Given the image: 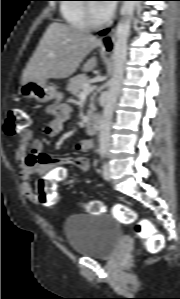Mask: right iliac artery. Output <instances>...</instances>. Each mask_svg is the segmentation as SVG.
<instances>
[{"label":"right iliac artery","mask_w":180,"mask_h":299,"mask_svg":"<svg viewBox=\"0 0 180 299\" xmlns=\"http://www.w3.org/2000/svg\"><path fill=\"white\" fill-rule=\"evenodd\" d=\"M105 154H106V151H105V150H102V151H101V157H102V159H104Z\"/></svg>","instance_id":"obj_1"}]
</instances>
